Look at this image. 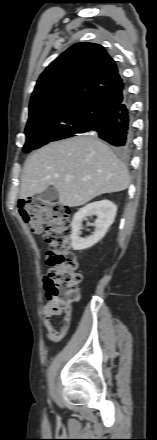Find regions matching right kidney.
Masks as SVG:
<instances>
[{"label": "right kidney", "mask_w": 157, "mask_h": 440, "mask_svg": "<svg viewBox=\"0 0 157 440\" xmlns=\"http://www.w3.org/2000/svg\"><path fill=\"white\" fill-rule=\"evenodd\" d=\"M116 212L117 206L109 200L96 201L81 208L75 213L71 223L72 248L74 250H84L98 243L114 222ZM93 215L97 216L93 223L95 226L94 233L87 238H81L79 235L83 219Z\"/></svg>", "instance_id": "ca27d5eb"}]
</instances>
